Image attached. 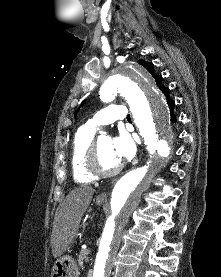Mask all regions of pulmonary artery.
I'll return each instance as SVG.
<instances>
[{"label":"pulmonary artery","mask_w":221,"mask_h":277,"mask_svg":"<svg viewBox=\"0 0 221 277\" xmlns=\"http://www.w3.org/2000/svg\"><path fill=\"white\" fill-rule=\"evenodd\" d=\"M126 118V107L124 105L112 104L97 112L92 119L88 120L85 126L95 129L98 126L107 125Z\"/></svg>","instance_id":"1"}]
</instances>
